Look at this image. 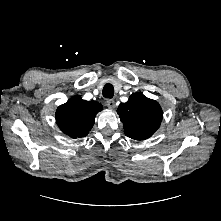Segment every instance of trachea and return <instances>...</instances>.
Returning a JSON list of instances; mask_svg holds the SVG:
<instances>
[{"instance_id":"trachea-1","label":"trachea","mask_w":221,"mask_h":221,"mask_svg":"<svg viewBox=\"0 0 221 221\" xmlns=\"http://www.w3.org/2000/svg\"><path fill=\"white\" fill-rule=\"evenodd\" d=\"M103 96L105 98H112L114 96V87L108 83L103 87Z\"/></svg>"}]
</instances>
